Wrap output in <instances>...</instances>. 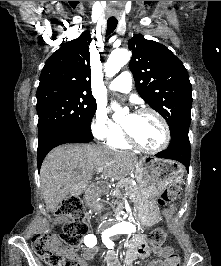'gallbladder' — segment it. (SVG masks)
<instances>
[{
    "mask_svg": "<svg viewBox=\"0 0 221 266\" xmlns=\"http://www.w3.org/2000/svg\"><path fill=\"white\" fill-rule=\"evenodd\" d=\"M80 193H82V190H77L71 193V195H79Z\"/></svg>",
    "mask_w": 221,
    "mask_h": 266,
    "instance_id": "1",
    "label": "gallbladder"
}]
</instances>
